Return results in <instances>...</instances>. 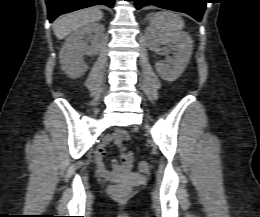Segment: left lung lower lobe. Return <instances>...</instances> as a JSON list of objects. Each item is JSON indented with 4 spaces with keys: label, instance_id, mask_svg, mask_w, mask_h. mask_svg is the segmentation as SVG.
<instances>
[{
    "label": "left lung lower lobe",
    "instance_id": "1",
    "mask_svg": "<svg viewBox=\"0 0 260 217\" xmlns=\"http://www.w3.org/2000/svg\"><path fill=\"white\" fill-rule=\"evenodd\" d=\"M140 9L144 6L154 5L160 8L184 12L201 21L207 0H130Z\"/></svg>",
    "mask_w": 260,
    "mask_h": 217
}]
</instances>
